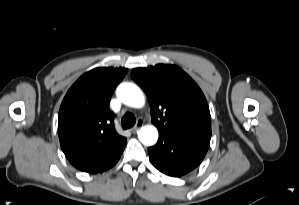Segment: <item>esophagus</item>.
<instances>
[{
    "label": "esophagus",
    "instance_id": "1",
    "mask_svg": "<svg viewBox=\"0 0 299 205\" xmlns=\"http://www.w3.org/2000/svg\"><path fill=\"white\" fill-rule=\"evenodd\" d=\"M143 126V121L138 120L137 124L131 129L133 133L137 132Z\"/></svg>",
    "mask_w": 299,
    "mask_h": 205
}]
</instances>
